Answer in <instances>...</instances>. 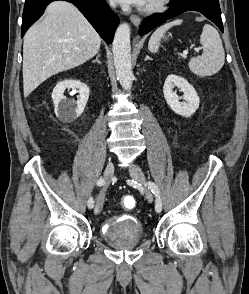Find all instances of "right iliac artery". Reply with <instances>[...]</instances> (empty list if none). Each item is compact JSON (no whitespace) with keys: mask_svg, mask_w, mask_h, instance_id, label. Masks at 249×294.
Returning a JSON list of instances; mask_svg holds the SVG:
<instances>
[{"mask_svg":"<svg viewBox=\"0 0 249 294\" xmlns=\"http://www.w3.org/2000/svg\"><path fill=\"white\" fill-rule=\"evenodd\" d=\"M97 186H103L105 184V180L103 178H100L97 180ZM88 207L91 209L94 206V200L93 198H89L88 202H87Z\"/></svg>","mask_w":249,"mask_h":294,"instance_id":"right-iliac-artery-1","label":"right iliac artery"}]
</instances>
